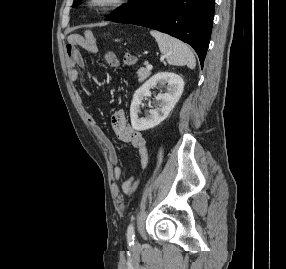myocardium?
<instances>
[{"instance_id":"myocardium-1","label":"myocardium","mask_w":286,"mask_h":269,"mask_svg":"<svg viewBox=\"0 0 286 269\" xmlns=\"http://www.w3.org/2000/svg\"><path fill=\"white\" fill-rule=\"evenodd\" d=\"M128 0H87L88 6L96 12H105L122 7Z\"/></svg>"}]
</instances>
